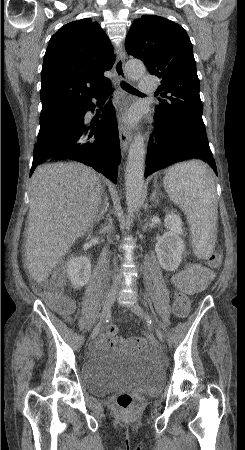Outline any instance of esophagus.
I'll use <instances>...</instances> for the list:
<instances>
[{
	"mask_svg": "<svg viewBox=\"0 0 245 450\" xmlns=\"http://www.w3.org/2000/svg\"><path fill=\"white\" fill-rule=\"evenodd\" d=\"M125 57H126L125 53L121 49V51L116 59L115 66H114L115 74L120 81L127 80V76H126L125 69H124ZM119 139H120V145H121L123 152H126L128 149V145L132 139V133L121 122L119 124Z\"/></svg>",
	"mask_w": 245,
	"mask_h": 450,
	"instance_id": "obj_1",
	"label": "esophagus"
}]
</instances>
